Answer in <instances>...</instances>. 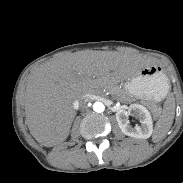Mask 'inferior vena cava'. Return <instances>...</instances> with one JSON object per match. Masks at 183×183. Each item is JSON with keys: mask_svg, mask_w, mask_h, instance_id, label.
<instances>
[{"mask_svg": "<svg viewBox=\"0 0 183 183\" xmlns=\"http://www.w3.org/2000/svg\"><path fill=\"white\" fill-rule=\"evenodd\" d=\"M89 101V97L87 95H83L80 99L75 100L73 103V107L75 109H78L79 106H83L85 103H87Z\"/></svg>", "mask_w": 183, "mask_h": 183, "instance_id": "obj_1", "label": "inferior vena cava"}]
</instances>
